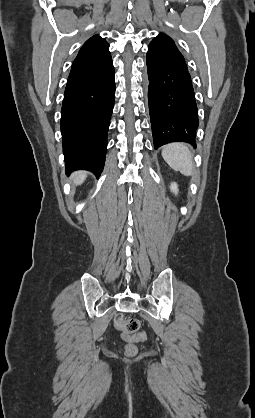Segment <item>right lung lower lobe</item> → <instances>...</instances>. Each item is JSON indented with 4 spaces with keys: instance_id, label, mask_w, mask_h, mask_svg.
<instances>
[{
    "instance_id": "98d812e1",
    "label": "right lung lower lobe",
    "mask_w": 255,
    "mask_h": 418,
    "mask_svg": "<svg viewBox=\"0 0 255 418\" xmlns=\"http://www.w3.org/2000/svg\"><path fill=\"white\" fill-rule=\"evenodd\" d=\"M114 78L111 56L71 68L60 123L67 173L85 169L98 177L103 170Z\"/></svg>"
}]
</instances>
